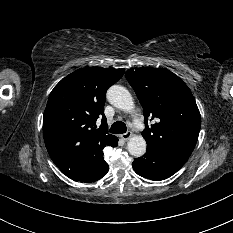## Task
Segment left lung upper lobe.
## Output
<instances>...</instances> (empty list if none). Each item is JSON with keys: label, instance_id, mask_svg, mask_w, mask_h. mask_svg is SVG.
I'll return each instance as SVG.
<instances>
[{"label": "left lung upper lobe", "instance_id": "left-lung-upper-lobe-1", "mask_svg": "<svg viewBox=\"0 0 233 233\" xmlns=\"http://www.w3.org/2000/svg\"><path fill=\"white\" fill-rule=\"evenodd\" d=\"M125 76L144 113L147 146L191 155L200 131L201 118L188 86L163 68L129 69ZM148 117L157 122L148 126Z\"/></svg>", "mask_w": 233, "mask_h": 233}]
</instances>
